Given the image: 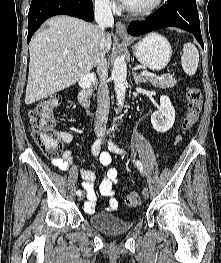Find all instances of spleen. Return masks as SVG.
Segmentation results:
<instances>
[{"label": "spleen", "mask_w": 221, "mask_h": 263, "mask_svg": "<svg viewBox=\"0 0 221 263\" xmlns=\"http://www.w3.org/2000/svg\"><path fill=\"white\" fill-rule=\"evenodd\" d=\"M183 54L181 56V63L183 71L192 76L196 73L198 63H199V52L194 44L184 43L183 44Z\"/></svg>", "instance_id": "3e777b00"}]
</instances>
